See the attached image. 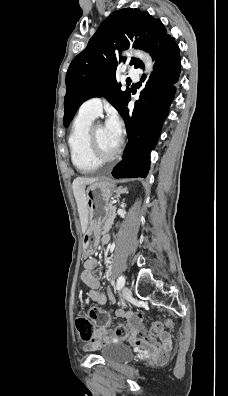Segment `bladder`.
Masks as SVG:
<instances>
[{
  "mask_svg": "<svg viewBox=\"0 0 228 396\" xmlns=\"http://www.w3.org/2000/svg\"><path fill=\"white\" fill-rule=\"evenodd\" d=\"M99 353L109 363H123L133 358L132 349L123 343H106L100 347Z\"/></svg>",
  "mask_w": 228,
  "mask_h": 396,
  "instance_id": "1",
  "label": "bladder"
}]
</instances>
